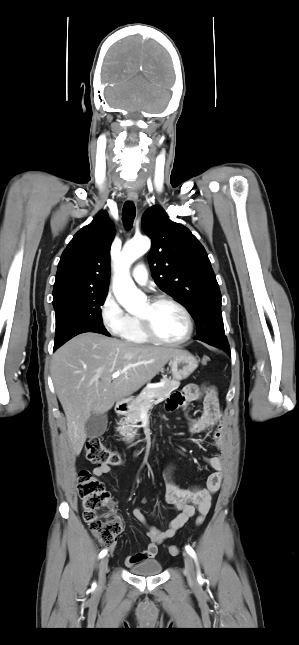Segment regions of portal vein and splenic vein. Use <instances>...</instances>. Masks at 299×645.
Listing matches in <instances>:
<instances>
[{"mask_svg":"<svg viewBox=\"0 0 299 645\" xmlns=\"http://www.w3.org/2000/svg\"><path fill=\"white\" fill-rule=\"evenodd\" d=\"M124 371H116L112 374V378H117L119 377Z\"/></svg>","mask_w":299,"mask_h":645,"instance_id":"18ae733b","label":"portal vein and splenic vein"}]
</instances>
